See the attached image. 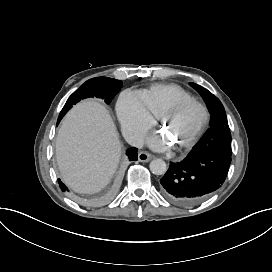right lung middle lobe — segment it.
Segmentation results:
<instances>
[{"instance_id": "obj_1", "label": "right lung middle lobe", "mask_w": 272, "mask_h": 272, "mask_svg": "<svg viewBox=\"0 0 272 272\" xmlns=\"http://www.w3.org/2000/svg\"><path fill=\"white\" fill-rule=\"evenodd\" d=\"M122 86V81L108 77H96L89 79L83 83L67 100L63 109L60 112L58 120L71 109L72 105L79 102L81 99L88 97H97L105 100L107 104L111 102L114 96L118 93Z\"/></svg>"}]
</instances>
